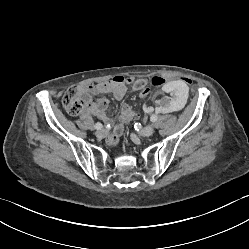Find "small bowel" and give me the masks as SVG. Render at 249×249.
Segmentation results:
<instances>
[{"mask_svg": "<svg viewBox=\"0 0 249 249\" xmlns=\"http://www.w3.org/2000/svg\"><path fill=\"white\" fill-rule=\"evenodd\" d=\"M182 81L188 82L185 78H179ZM148 80L145 78H140L134 80L131 77H124L122 75H116L112 79L103 81L100 83L89 84L80 86L79 89L86 97V111L91 113L106 124H112V120L107 114V109L109 105L108 99H99L96 102H93L92 95L98 94H107L111 93L116 100H121L128 88L133 92L141 91V93L147 88ZM145 110L148 112L152 111L151 107H145ZM138 117L137 112H135L132 107L128 104H124L120 109V116L117 123L114 126L113 132L109 135L107 141L109 144H114L117 142L119 136L124 130V125Z\"/></svg>", "mask_w": 249, "mask_h": 249, "instance_id": "c3829d8e", "label": "small bowel"}]
</instances>
